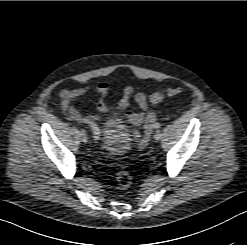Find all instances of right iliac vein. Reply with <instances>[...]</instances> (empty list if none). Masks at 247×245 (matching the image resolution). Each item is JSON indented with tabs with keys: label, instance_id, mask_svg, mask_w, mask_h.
<instances>
[{
	"label": "right iliac vein",
	"instance_id": "obj_1",
	"mask_svg": "<svg viewBox=\"0 0 247 245\" xmlns=\"http://www.w3.org/2000/svg\"><path fill=\"white\" fill-rule=\"evenodd\" d=\"M80 137H81V140H82L84 143H87L88 137H87V135H86V133H85L84 130H81V131H80Z\"/></svg>",
	"mask_w": 247,
	"mask_h": 245
}]
</instances>
